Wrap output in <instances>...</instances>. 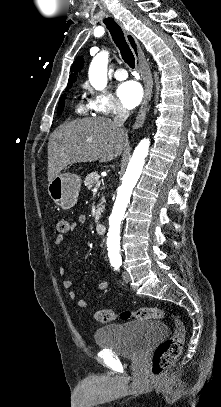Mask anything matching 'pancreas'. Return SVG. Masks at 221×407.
<instances>
[{
    "mask_svg": "<svg viewBox=\"0 0 221 407\" xmlns=\"http://www.w3.org/2000/svg\"><path fill=\"white\" fill-rule=\"evenodd\" d=\"M99 178H100V176H99L98 172H92L85 177L84 185L88 189H92V187L96 184V182L99 181ZM104 201H105L104 198H102L101 202L97 206V210H96V214H95V222L99 221L101 213L104 210V206H103Z\"/></svg>",
    "mask_w": 221,
    "mask_h": 407,
    "instance_id": "1",
    "label": "pancreas"
}]
</instances>
